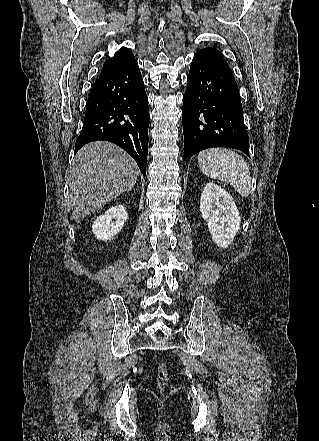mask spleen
<instances>
[{"mask_svg": "<svg viewBox=\"0 0 319 441\" xmlns=\"http://www.w3.org/2000/svg\"><path fill=\"white\" fill-rule=\"evenodd\" d=\"M201 171L208 177L230 184L243 197L251 191V176L244 158L226 148H213L198 154Z\"/></svg>", "mask_w": 319, "mask_h": 441, "instance_id": "1", "label": "spleen"}]
</instances>
